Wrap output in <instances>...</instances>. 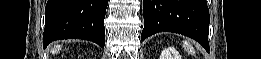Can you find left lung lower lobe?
Wrapping results in <instances>:
<instances>
[{"mask_svg": "<svg viewBox=\"0 0 261 59\" xmlns=\"http://www.w3.org/2000/svg\"><path fill=\"white\" fill-rule=\"evenodd\" d=\"M143 16L142 41L158 32H175L195 39L209 52L206 0H143Z\"/></svg>", "mask_w": 261, "mask_h": 59, "instance_id": "obj_1", "label": "left lung lower lobe"}]
</instances>
